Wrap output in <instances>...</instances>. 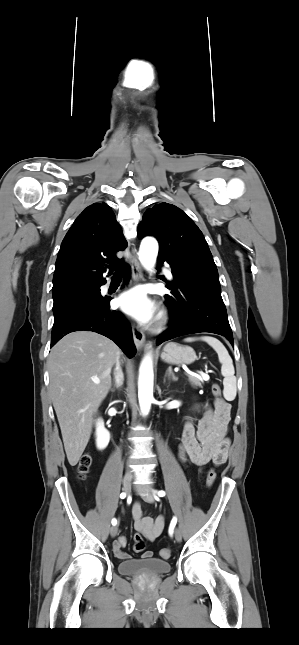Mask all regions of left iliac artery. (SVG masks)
I'll list each match as a JSON object with an SVG mask.
<instances>
[{"label": "left iliac artery", "mask_w": 299, "mask_h": 645, "mask_svg": "<svg viewBox=\"0 0 299 645\" xmlns=\"http://www.w3.org/2000/svg\"><path fill=\"white\" fill-rule=\"evenodd\" d=\"M154 493L157 494L159 497H164L165 496V492L163 490L155 491ZM155 497L158 498L157 496H155ZM176 523H177V518L173 517V519L171 520V523H170V527H169V534L171 536L173 534V529H174Z\"/></svg>", "instance_id": "left-iliac-artery-1"}]
</instances>
